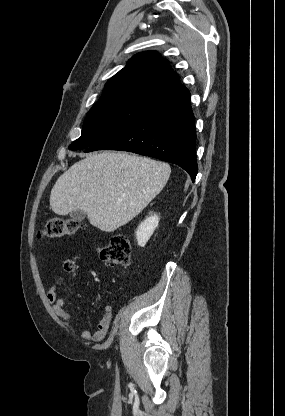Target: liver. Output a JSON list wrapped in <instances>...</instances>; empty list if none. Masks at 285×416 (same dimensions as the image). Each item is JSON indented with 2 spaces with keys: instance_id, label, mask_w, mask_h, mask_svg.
I'll use <instances>...</instances> for the list:
<instances>
[{
  "instance_id": "liver-1",
  "label": "liver",
  "mask_w": 285,
  "mask_h": 416,
  "mask_svg": "<svg viewBox=\"0 0 285 416\" xmlns=\"http://www.w3.org/2000/svg\"><path fill=\"white\" fill-rule=\"evenodd\" d=\"M171 168L128 152H102L73 164L58 178L50 208L58 216L81 210L91 226L115 232L138 216L166 186Z\"/></svg>"
}]
</instances>
